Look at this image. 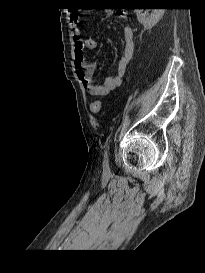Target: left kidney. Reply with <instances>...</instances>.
I'll use <instances>...</instances> for the list:
<instances>
[{"mask_svg": "<svg viewBox=\"0 0 205 273\" xmlns=\"http://www.w3.org/2000/svg\"><path fill=\"white\" fill-rule=\"evenodd\" d=\"M138 21L143 24L146 28L150 29L154 27L157 22L161 19L164 14L165 9H152L150 15H146L143 13V9H135L134 10Z\"/></svg>", "mask_w": 205, "mask_h": 273, "instance_id": "obj_1", "label": "left kidney"}]
</instances>
